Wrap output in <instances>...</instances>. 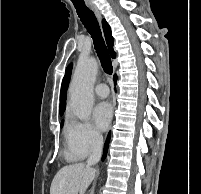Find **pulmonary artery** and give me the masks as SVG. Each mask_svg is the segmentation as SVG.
Wrapping results in <instances>:
<instances>
[{
    "mask_svg": "<svg viewBox=\"0 0 201 194\" xmlns=\"http://www.w3.org/2000/svg\"><path fill=\"white\" fill-rule=\"evenodd\" d=\"M95 94L100 98H106L109 95L108 86L104 83H99L94 88Z\"/></svg>",
    "mask_w": 201,
    "mask_h": 194,
    "instance_id": "1",
    "label": "pulmonary artery"
}]
</instances>
